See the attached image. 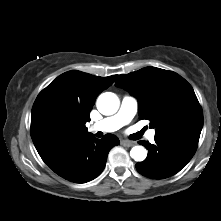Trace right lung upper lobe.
I'll return each mask as SVG.
<instances>
[{"instance_id":"obj_1","label":"right lung upper lobe","mask_w":221,"mask_h":221,"mask_svg":"<svg viewBox=\"0 0 221 221\" xmlns=\"http://www.w3.org/2000/svg\"><path fill=\"white\" fill-rule=\"evenodd\" d=\"M117 75L93 76L72 70L53 80L37 96L31 113V137L38 151L92 135L85 126L97 96Z\"/></svg>"}]
</instances>
